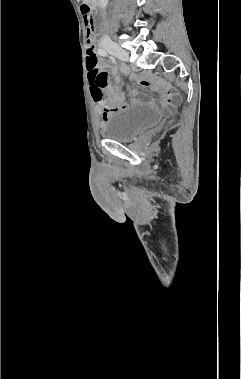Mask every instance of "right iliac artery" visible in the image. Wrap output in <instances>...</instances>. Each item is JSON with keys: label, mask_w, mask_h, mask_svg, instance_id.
I'll return each mask as SVG.
<instances>
[{"label": "right iliac artery", "mask_w": 241, "mask_h": 379, "mask_svg": "<svg viewBox=\"0 0 241 379\" xmlns=\"http://www.w3.org/2000/svg\"><path fill=\"white\" fill-rule=\"evenodd\" d=\"M98 53H99V55H101V56H107V52H106L104 49H102V48H99V49H98Z\"/></svg>", "instance_id": "right-iliac-artery-1"}]
</instances>
